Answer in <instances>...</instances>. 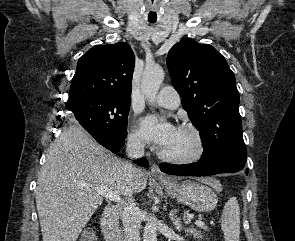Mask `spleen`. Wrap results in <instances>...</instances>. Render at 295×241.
<instances>
[{"instance_id":"1","label":"spleen","mask_w":295,"mask_h":241,"mask_svg":"<svg viewBox=\"0 0 295 241\" xmlns=\"http://www.w3.org/2000/svg\"><path fill=\"white\" fill-rule=\"evenodd\" d=\"M221 228L225 241H239L240 208L236 197H231L224 206L221 217Z\"/></svg>"}]
</instances>
